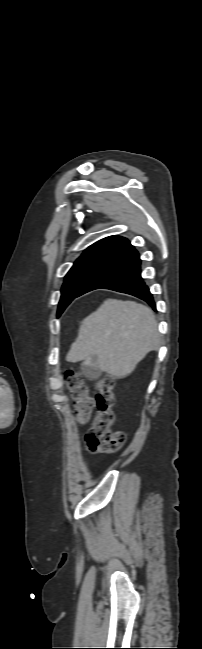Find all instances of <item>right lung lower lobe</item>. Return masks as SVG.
<instances>
[{
  "label": "right lung lower lobe",
  "instance_id": "98d812e1",
  "mask_svg": "<svg viewBox=\"0 0 202 649\" xmlns=\"http://www.w3.org/2000/svg\"><path fill=\"white\" fill-rule=\"evenodd\" d=\"M101 288L136 296L155 309L153 295L141 277L139 253L134 248L108 262L85 284L78 296Z\"/></svg>",
  "mask_w": 202,
  "mask_h": 649
}]
</instances>
